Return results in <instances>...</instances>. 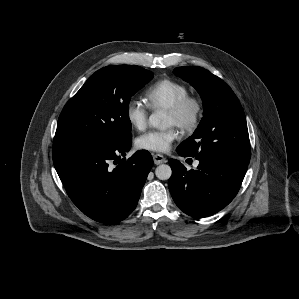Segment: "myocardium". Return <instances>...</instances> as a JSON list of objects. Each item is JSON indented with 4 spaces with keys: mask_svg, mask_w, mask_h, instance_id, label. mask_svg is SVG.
<instances>
[{
    "mask_svg": "<svg viewBox=\"0 0 299 299\" xmlns=\"http://www.w3.org/2000/svg\"><path fill=\"white\" fill-rule=\"evenodd\" d=\"M175 119V125L185 132H193L199 126L203 114V100L196 95H187L167 109Z\"/></svg>",
    "mask_w": 299,
    "mask_h": 299,
    "instance_id": "myocardium-1",
    "label": "myocardium"
}]
</instances>
